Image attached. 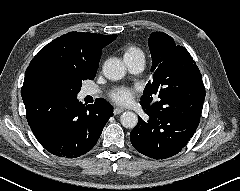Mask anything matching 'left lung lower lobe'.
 I'll use <instances>...</instances> for the list:
<instances>
[{"instance_id": "0a47b994", "label": "left lung lower lobe", "mask_w": 240, "mask_h": 191, "mask_svg": "<svg viewBox=\"0 0 240 191\" xmlns=\"http://www.w3.org/2000/svg\"><path fill=\"white\" fill-rule=\"evenodd\" d=\"M204 99L203 81L196 79L182 95L171 100L141 103L148 120L138 117L139 123L130 133L133 147L153 159L180 152L199 125Z\"/></svg>"}]
</instances>
